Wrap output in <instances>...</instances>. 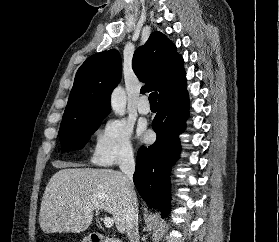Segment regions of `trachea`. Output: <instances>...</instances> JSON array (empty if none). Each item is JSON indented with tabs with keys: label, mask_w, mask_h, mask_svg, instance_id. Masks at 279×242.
<instances>
[{
	"label": "trachea",
	"mask_w": 279,
	"mask_h": 242,
	"mask_svg": "<svg viewBox=\"0 0 279 242\" xmlns=\"http://www.w3.org/2000/svg\"><path fill=\"white\" fill-rule=\"evenodd\" d=\"M149 102H150V105H155L157 104V92H152L150 95H149Z\"/></svg>",
	"instance_id": "obj_1"
}]
</instances>
